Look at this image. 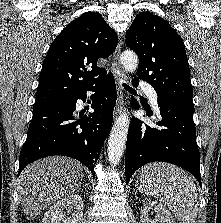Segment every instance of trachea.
<instances>
[{"label": "trachea", "instance_id": "3493384b", "mask_svg": "<svg viewBox=\"0 0 221 223\" xmlns=\"http://www.w3.org/2000/svg\"><path fill=\"white\" fill-rule=\"evenodd\" d=\"M124 88H126L127 90L131 91V92H135L134 89H132L130 86H128L127 84L123 83Z\"/></svg>", "mask_w": 221, "mask_h": 223}]
</instances>
